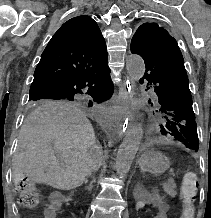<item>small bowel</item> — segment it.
<instances>
[{
  "mask_svg": "<svg viewBox=\"0 0 211 218\" xmlns=\"http://www.w3.org/2000/svg\"><path fill=\"white\" fill-rule=\"evenodd\" d=\"M152 207L154 210L153 218H167V208L163 202H155ZM57 212V208L54 205H50L45 209L44 216L45 218H56Z\"/></svg>",
  "mask_w": 211,
  "mask_h": 218,
  "instance_id": "c3829d8e",
  "label": "small bowel"
}]
</instances>
